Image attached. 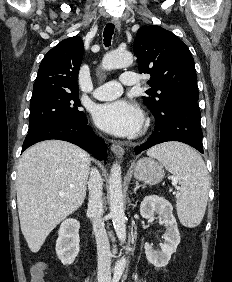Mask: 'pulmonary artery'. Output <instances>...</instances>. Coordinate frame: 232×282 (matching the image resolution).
Listing matches in <instances>:
<instances>
[{"mask_svg": "<svg viewBox=\"0 0 232 282\" xmlns=\"http://www.w3.org/2000/svg\"><path fill=\"white\" fill-rule=\"evenodd\" d=\"M138 75L132 71H125L120 76V82L109 81L97 87L93 96L99 100H113L122 94L123 85L133 86L138 84Z\"/></svg>", "mask_w": 232, "mask_h": 282, "instance_id": "e3ab8cb5", "label": "pulmonary artery"}]
</instances>
